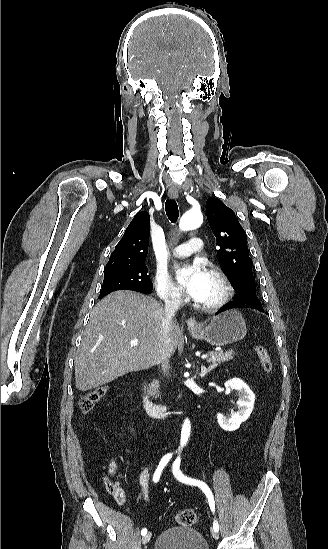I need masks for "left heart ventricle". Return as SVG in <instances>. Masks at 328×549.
Returning a JSON list of instances; mask_svg holds the SVG:
<instances>
[{
    "label": "left heart ventricle",
    "instance_id": "b2bd125f",
    "mask_svg": "<svg viewBox=\"0 0 328 549\" xmlns=\"http://www.w3.org/2000/svg\"><path fill=\"white\" fill-rule=\"evenodd\" d=\"M199 267L204 270L208 269V271L211 269L204 265H200ZM221 293H222L221 282L214 275H211L208 273L207 283L205 286L204 293L202 297L198 300V302H201V303L213 302L220 297Z\"/></svg>",
    "mask_w": 328,
    "mask_h": 549
}]
</instances>
